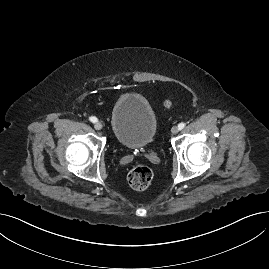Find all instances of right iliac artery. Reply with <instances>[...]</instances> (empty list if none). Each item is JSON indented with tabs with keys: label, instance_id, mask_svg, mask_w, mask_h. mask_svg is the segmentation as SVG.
I'll list each match as a JSON object with an SVG mask.
<instances>
[{
	"label": "right iliac artery",
	"instance_id": "obj_1",
	"mask_svg": "<svg viewBox=\"0 0 269 269\" xmlns=\"http://www.w3.org/2000/svg\"><path fill=\"white\" fill-rule=\"evenodd\" d=\"M89 120H90L91 122H93V123H96V122L98 121V119H97L96 117H94V116L89 117Z\"/></svg>",
	"mask_w": 269,
	"mask_h": 269
}]
</instances>
